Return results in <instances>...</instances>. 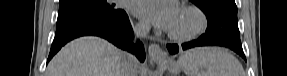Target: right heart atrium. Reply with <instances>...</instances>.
Listing matches in <instances>:
<instances>
[{
    "mask_svg": "<svg viewBox=\"0 0 287 76\" xmlns=\"http://www.w3.org/2000/svg\"><path fill=\"white\" fill-rule=\"evenodd\" d=\"M135 28H136L137 31L143 32V31L146 30L147 25L145 23H143V22H139V23H137L135 25Z\"/></svg>",
    "mask_w": 287,
    "mask_h": 76,
    "instance_id": "right-heart-atrium-1",
    "label": "right heart atrium"
}]
</instances>
